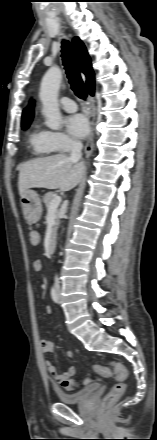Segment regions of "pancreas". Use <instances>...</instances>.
<instances>
[{"mask_svg": "<svg viewBox=\"0 0 157 440\" xmlns=\"http://www.w3.org/2000/svg\"><path fill=\"white\" fill-rule=\"evenodd\" d=\"M55 197H57V194H56V193H53V192H49V193H46V194L44 195V197H43V202H44V204H45L47 210H49L50 203L52 202V200H53ZM59 222H60V221H59V211L56 209V211H55V226H54L53 234H52V237H53V238H55V236H56V232H57V229H58V226H59Z\"/></svg>", "mask_w": 157, "mask_h": 440, "instance_id": "pancreas-1", "label": "pancreas"}]
</instances>
